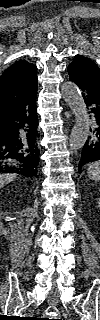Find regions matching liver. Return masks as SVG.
I'll return each mask as SVG.
<instances>
[{
	"instance_id": "obj_1",
	"label": "liver",
	"mask_w": 100,
	"mask_h": 320,
	"mask_svg": "<svg viewBox=\"0 0 100 320\" xmlns=\"http://www.w3.org/2000/svg\"><path fill=\"white\" fill-rule=\"evenodd\" d=\"M9 163H16V161L8 160ZM16 178V174H1L0 175V186L4 187L6 184L10 183Z\"/></svg>"
}]
</instances>
